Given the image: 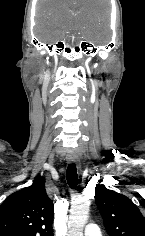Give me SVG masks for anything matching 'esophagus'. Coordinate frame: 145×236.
<instances>
[{"mask_svg": "<svg viewBox=\"0 0 145 236\" xmlns=\"http://www.w3.org/2000/svg\"><path fill=\"white\" fill-rule=\"evenodd\" d=\"M67 161H68V163H70V164H73V163L79 164L78 156H77V154L74 153V152L68 153V155H67Z\"/></svg>", "mask_w": 145, "mask_h": 236, "instance_id": "34e87169", "label": "esophagus"}]
</instances>
